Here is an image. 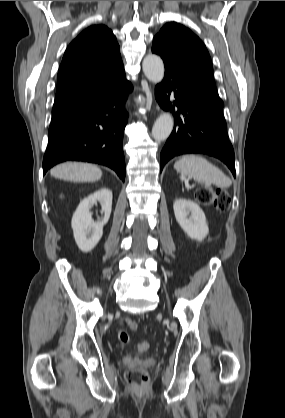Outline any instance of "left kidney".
Wrapping results in <instances>:
<instances>
[{
    "label": "left kidney",
    "mask_w": 285,
    "mask_h": 418,
    "mask_svg": "<svg viewBox=\"0 0 285 418\" xmlns=\"http://www.w3.org/2000/svg\"><path fill=\"white\" fill-rule=\"evenodd\" d=\"M173 209L176 221L191 239L201 242L208 235L205 214L195 202L180 198L174 202Z\"/></svg>",
    "instance_id": "left-kidney-1"
}]
</instances>
